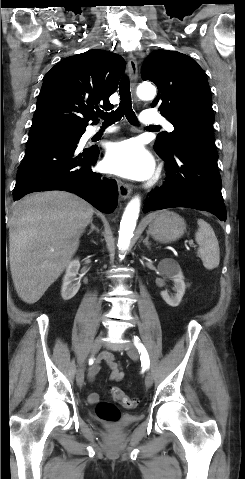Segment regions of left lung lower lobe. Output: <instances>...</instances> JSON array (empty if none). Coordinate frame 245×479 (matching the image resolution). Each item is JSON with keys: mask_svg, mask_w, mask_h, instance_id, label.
I'll return each instance as SVG.
<instances>
[{"mask_svg": "<svg viewBox=\"0 0 245 479\" xmlns=\"http://www.w3.org/2000/svg\"><path fill=\"white\" fill-rule=\"evenodd\" d=\"M159 156L166 163L167 179L162 187L150 192L143 212L187 207L208 211L226 221L214 141L190 140L174 147L171 154Z\"/></svg>", "mask_w": 245, "mask_h": 479, "instance_id": "0a47b994", "label": "left lung lower lobe"}]
</instances>
